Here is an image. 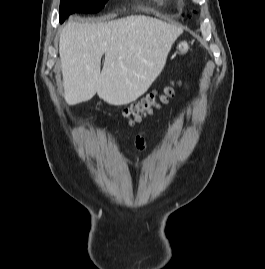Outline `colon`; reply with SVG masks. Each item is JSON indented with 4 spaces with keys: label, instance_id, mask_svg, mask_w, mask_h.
<instances>
[{
    "label": "colon",
    "instance_id": "obj_1",
    "mask_svg": "<svg viewBox=\"0 0 265 269\" xmlns=\"http://www.w3.org/2000/svg\"><path fill=\"white\" fill-rule=\"evenodd\" d=\"M172 95L173 88L171 86L165 87L161 91H153L139 102L125 108L121 114L131 123H138L144 117L151 115L161 104H165Z\"/></svg>",
    "mask_w": 265,
    "mask_h": 269
}]
</instances>
